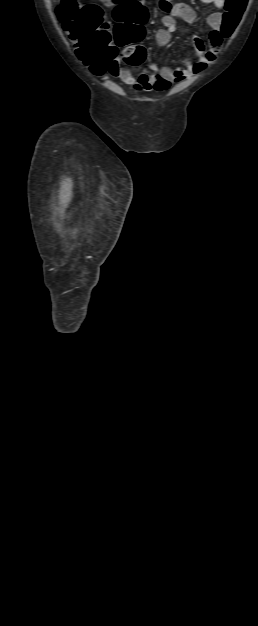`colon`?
Wrapping results in <instances>:
<instances>
[{
  "mask_svg": "<svg viewBox=\"0 0 258 626\" xmlns=\"http://www.w3.org/2000/svg\"><path fill=\"white\" fill-rule=\"evenodd\" d=\"M116 7L114 29L104 20L98 4L81 5L77 0H61L56 8L58 19L72 41L78 58L96 75L108 70L117 60L119 47H125L122 58L132 65L141 64L146 51L138 44L144 36L148 10L141 0H102ZM247 0H225L221 33L229 37L237 27Z\"/></svg>",
  "mask_w": 258,
  "mask_h": 626,
  "instance_id": "5ec220e1",
  "label": "colon"
}]
</instances>
